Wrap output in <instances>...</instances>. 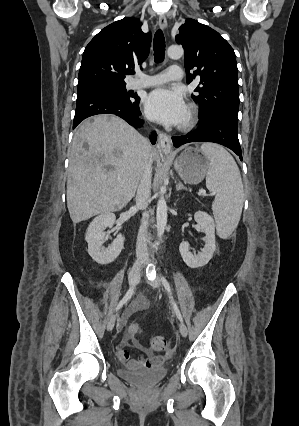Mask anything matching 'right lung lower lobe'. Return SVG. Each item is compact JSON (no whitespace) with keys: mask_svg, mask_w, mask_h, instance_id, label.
<instances>
[{"mask_svg":"<svg viewBox=\"0 0 299 426\" xmlns=\"http://www.w3.org/2000/svg\"><path fill=\"white\" fill-rule=\"evenodd\" d=\"M139 100H124L113 94L98 91H82L77 95V105L73 122V129L85 118L97 114H115L123 118L134 127H140L143 121L138 117ZM157 134L153 132L150 141L155 144Z\"/></svg>","mask_w":299,"mask_h":426,"instance_id":"obj_1","label":"right lung lower lobe"}]
</instances>
